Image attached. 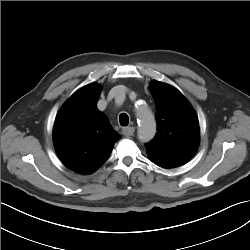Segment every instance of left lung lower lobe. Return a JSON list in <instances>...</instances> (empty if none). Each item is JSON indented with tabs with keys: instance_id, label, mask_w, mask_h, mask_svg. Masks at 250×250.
Here are the masks:
<instances>
[{
	"instance_id": "obj_1",
	"label": "left lung lower lobe",
	"mask_w": 250,
	"mask_h": 250,
	"mask_svg": "<svg viewBox=\"0 0 250 250\" xmlns=\"http://www.w3.org/2000/svg\"><path fill=\"white\" fill-rule=\"evenodd\" d=\"M147 156L156 165L163 167V168H167V169H170L172 167H178L186 163L185 161L169 160V159L153 157L149 155Z\"/></svg>"
}]
</instances>
